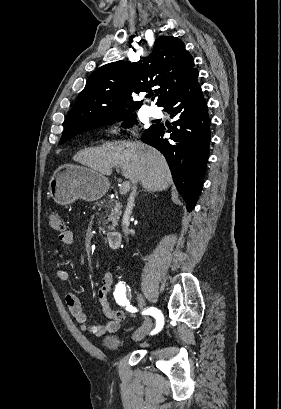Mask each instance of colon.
<instances>
[{
    "instance_id": "1",
    "label": "colon",
    "mask_w": 281,
    "mask_h": 409,
    "mask_svg": "<svg viewBox=\"0 0 281 409\" xmlns=\"http://www.w3.org/2000/svg\"><path fill=\"white\" fill-rule=\"evenodd\" d=\"M47 220L52 232L59 234L65 232L66 224L58 211L49 210L47 212ZM113 317L115 320L122 321L124 319V314L121 311H116L113 313Z\"/></svg>"
}]
</instances>
